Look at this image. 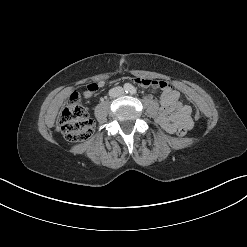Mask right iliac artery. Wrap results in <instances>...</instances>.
Listing matches in <instances>:
<instances>
[{
	"instance_id": "right-iliac-artery-1",
	"label": "right iliac artery",
	"mask_w": 247,
	"mask_h": 247,
	"mask_svg": "<svg viewBox=\"0 0 247 247\" xmlns=\"http://www.w3.org/2000/svg\"><path fill=\"white\" fill-rule=\"evenodd\" d=\"M128 91H130V87L129 86H126L125 87V92H128Z\"/></svg>"
}]
</instances>
